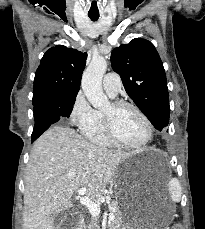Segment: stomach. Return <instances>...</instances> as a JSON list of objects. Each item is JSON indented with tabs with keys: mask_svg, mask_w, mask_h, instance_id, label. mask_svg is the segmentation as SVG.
Returning a JSON list of instances; mask_svg holds the SVG:
<instances>
[{
	"mask_svg": "<svg viewBox=\"0 0 205 229\" xmlns=\"http://www.w3.org/2000/svg\"><path fill=\"white\" fill-rule=\"evenodd\" d=\"M150 152L146 149L134 153L114 174L122 229H167L173 219V206L157 203L151 207L137 191L143 174L142 164Z\"/></svg>",
	"mask_w": 205,
	"mask_h": 229,
	"instance_id": "1",
	"label": "stomach"
}]
</instances>
